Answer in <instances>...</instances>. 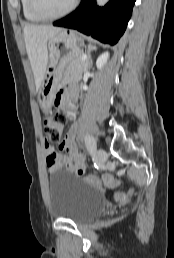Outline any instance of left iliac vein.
<instances>
[{"instance_id": "1", "label": "left iliac vein", "mask_w": 174, "mask_h": 258, "mask_svg": "<svg viewBox=\"0 0 174 258\" xmlns=\"http://www.w3.org/2000/svg\"><path fill=\"white\" fill-rule=\"evenodd\" d=\"M96 157L98 161L104 162L107 159V153L104 149H98L96 151Z\"/></svg>"}]
</instances>
